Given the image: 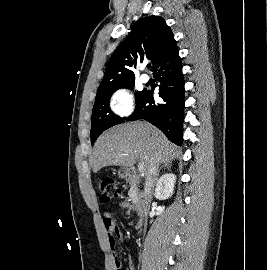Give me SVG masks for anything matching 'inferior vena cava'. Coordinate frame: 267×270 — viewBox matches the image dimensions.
<instances>
[{
    "label": "inferior vena cava",
    "instance_id": "1",
    "mask_svg": "<svg viewBox=\"0 0 267 270\" xmlns=\"http://www.w3.org/2000/svg\"><path fill=\"white\" fill-rule=\"evenodd\" d=\"M158 168H159V160L157 158H154L151 161L150 167L148 169V172L146 175V181L144 185L143 211L145 215H147L149 204L151 202L152 195H153V189L159 176Z\"/></svg>",
    "mask_w": 267,
    "mask_h": 270
}]
</instances>
